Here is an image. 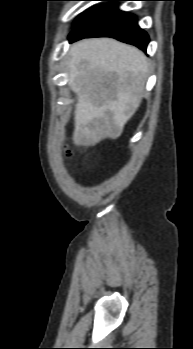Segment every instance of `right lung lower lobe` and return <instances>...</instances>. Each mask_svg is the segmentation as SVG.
Here are the masks:
<instances>
[{
    "mask_svg": "<svg viewBox=\"0 0 193 349\" xmlns=\"http://www.w3.org/2000/svg\"><path fill=\"white\" fill-rule=\"evenodd\" d=\"M123 1V0H108ZM88 37H112L146 51L149 37L137 24L134 15L119 10L114 4L98 7L77 23L70 42Z\"/></svg>",
    "mask_w": 193,
    "mask_h": 349,
    "instance_id": "98d812e1",
    "label": "right lung lower lobe"
}]
</instances>
